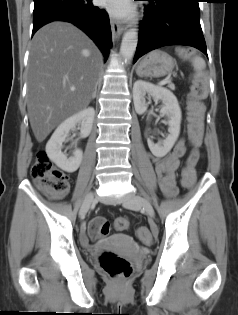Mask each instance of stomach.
<instances>
[{"label": "stomach", "instance_id": "obj_1", "mask_svg": "<svg viewBox=\"0 0 238 315\" xmlns=\"http://www.w3.org/2000/svg\"><path fill=\"white\" fill-rule=\"evenodd\" d=\"M174 66L175 61L168 53L155 50L139 62L136 73L141 77H163L170 74Z\"/></svg>", "mask_w": 238, "mask_h": 315}]
</instances>
